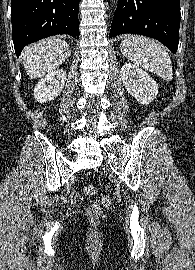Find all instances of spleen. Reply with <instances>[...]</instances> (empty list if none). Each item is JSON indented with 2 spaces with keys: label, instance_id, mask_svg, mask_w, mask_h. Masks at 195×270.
<instances>
[{
  "label": "spleen",
  "instance_id": "3e777b00",
  "mask_svg": "<svg viewBox=\"0 0 195 270\" xmlns=\"http://www.w3.org/2000/svg\"><path fill=\"white\" fill-rule=\"evenodd\" d=\"M122 54L135 65L156 73L165 81L173 79L171 59L166 50L152 39L127 36L120 44Z\"/></svg>",
  "mask_w": 195,
  "mask_h": 270
}]
</instances>
